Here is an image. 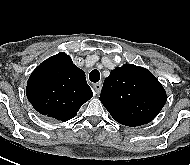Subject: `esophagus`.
<instances>
[{
  "label": "esophagus",
  "mask_w": 190,
  "mask_h": 165,
  "mask_svg": "<svg viewBox=\"0 0 190 165\" xmlns=\"http://www.w3.org/2000/svg\"><path fill=\"white\" fill-rule=\"evenodd\" d=\"M93 88H94L95 94L97 95L100 94L101 89H102V83L99 82V83L94 84Z\"/></svg>",
  "instance_id": "1"
}]
</instances>
